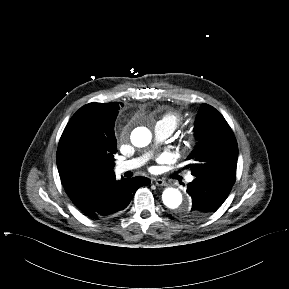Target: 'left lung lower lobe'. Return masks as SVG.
Masks as SVG:
<instances>
[{
    "label": "left lung lower lobe",
    "mask_w": 289,
    "mask_h": 289,
    "mask_svg": "<svg viewBox=\"0 0 289 289\" xmlns=\"http://www.w3.org/2000/svg\"><path fill=\"white\" fill-rule=\"evenodd\" d=\"M232 186L221 180L196 177L187 185V192L192 198L187 218L200 219L213 212L225 201Z\"/></svg>",
    "instance_id": "obj_1"
}]
</instances>
